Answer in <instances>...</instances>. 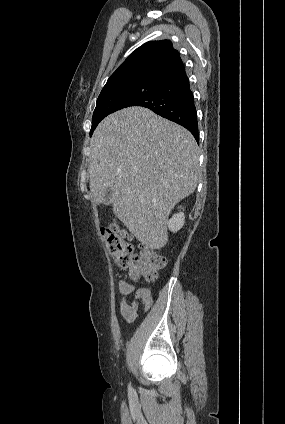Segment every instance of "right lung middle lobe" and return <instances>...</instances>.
Returning a JSON list of instances; mask_svg holds the SVG:
<instances>
[{
	"instance_id": "right-lung-middle-lobe-1",
	"label": "right lung middle lobe",
	"mask_w": 285,
	"mask_h": 424,
	"mask_svg": "<svg viewBox=\"0 0 285 424\" xmlns=\"http://www.w3.org/2000/svg\"><path fill=\"white\" fill-rule=\"evenodd\" d=\"M163 84L157 81H141L102 90L93 113L90 135L107 115L129 107L134 101L153 93Z\"/></svg>"
}]
</instances>
